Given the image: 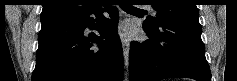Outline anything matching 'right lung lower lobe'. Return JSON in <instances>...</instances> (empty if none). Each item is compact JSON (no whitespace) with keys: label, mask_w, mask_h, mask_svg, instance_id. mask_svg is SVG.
Returning a JSON list of instances; mask_svg holds the SVG:
<instances>
[{"label":"right lung lower lobe","mask_w":237,"mask_h":81,"mask_svg":"<svg viewBox=\"0 0 237 81\" xmlns=\"http://www.w3.org/2000/svg\"><path fill=\"white\" fill-rule=\"evenodd\" d=\"M91 4L77 15L41 22L32 81H122L123 52L116 29L118 11L112 7L110 19L103 17L95 24L90 15L101 16L102 3ZM87 27L95 28L101 37L87 35Z\"/></svg>","instance_id":"obj_1"}]
</instances>
